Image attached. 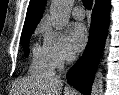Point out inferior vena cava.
<instances>
[{
	"mask_svg": "<svg viewBox=\"0 0 119 95\" xmlns=\"http://www.w3.org/2000/svg\"><path fill=\"white\" fill-rule=\"evenodd\" d=\"M74 60V56L72 54L66 55V63L70 64Z\"/></svg>",
	"mask_w": 119,
	"mask_h": 95,
	"instance_id": "602c4592",
	"label": "inferior vena cava"
}]
</instances>
